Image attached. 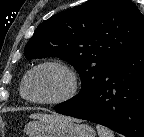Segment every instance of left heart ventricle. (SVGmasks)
I'll return each mask as SVG.
<instances>
[{"instance_id": "obj_1", "label": "left heart ventricle", "mask_w": 144, "mask_h": 137, "mask_svg": "<svg viewBox=\"0 0 144 137\" xmlns=\"http://www.w3.org/2000/svg\"><path fill=\"white\" fill-rule=\"evenodd\" d=\"M68 88L64 73L55 68H43L35 72L27 83V94L33 98L52 99Z\"/></svg>"}]
</instances>
